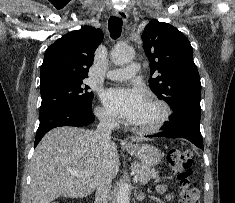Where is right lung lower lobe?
<instances>
[{"label":"right lung lower lobe","instance_id":"right-lung-lower-lobe-1","mask_svg":"<svg viewBox=\"0 0 235 203\" xmlns=\"http://www.w3.org/2000/svg\"><path fill=\"white\" fill-rule=\"evenodd\" d=\"M95 117L91 108L64 105L40 113V124L36 133L35 147L51 129L60 126L82 127L91 124Z\"/></svg>","mask_w":235,"mask_h":203}]
</instances>
